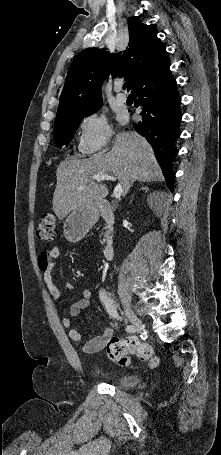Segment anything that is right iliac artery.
Listing matches in <instances>:
<instances>
[{"instance_id":"right-iliac-artery-1","label":"right iliac artery","mask_w":221,"mask_h":455,"mask_svg":"<svg viewBox=\"0 0 221 455\" xmlns=\"http://www.w3.org/2000/svg\"><path fill=\"white\" fill-rule=\"evenodd\" d=\"M99 298H100L101 303L105 307L106 311L108 312V314L110 316H112L113 318L119 319L120 317H119V314L117 313L116 306H115L113 300L111 299V297L109 296L108 292H106L105 290H100ZM126 331L129 332V334H134L133 326L127 325Z\"/></svg>"}]
</instances>
